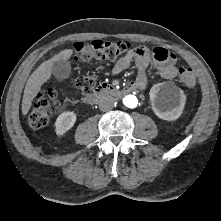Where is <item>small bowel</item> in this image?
Segmentation results:
<instances>
[{"instance_id": "obj_1", "label": "small bowel", "mask_w": 221, "mask_h": 221, "mask_svg": "<svg viewBox=\"0 0 221 221\" xmlns=\"http://www.w3.org/2000/svg\"><path fill=\"white\" fill-rule=\"evenodd\" d=\"M153 59L154 66L158 70L160 76L164 79H173L176 77L178 69L176 67V56L162 47L155 48L152 53L145 46H138L120 58L111 74L117 75L125 71L134 61L138 69L135 81L131 84L135 90H145L147 87L146 69Z\"/></svg>"}]
</instances>
